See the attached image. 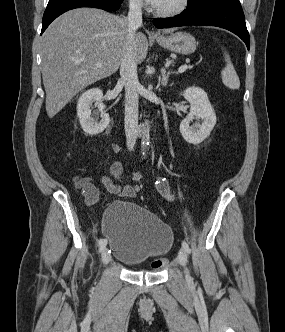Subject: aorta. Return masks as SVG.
Instances as JSON below:
<instances>
[{
	"label": "aorta",
	"instance_id": "762f6f07",
	"mask_svg": "<svg viewBox=\"0 0 285 332\" xmlns=\"http://www.w3.org/2000/svg\"><path fill=\"white\" fill-rule=\"evenodd\" d=\"M144 138L142 139V142H141V146H142V150H143V155L145 154L144 150L146 149V146H147V142H148V139H149V129L146 128L144 130Z\"/></svg>",
	"mask_w": 285,
	"mask_h": 332
}]
</instances>
